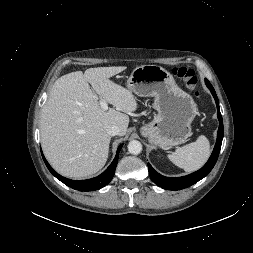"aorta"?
I'll list each match as a JSON object with an SVG mask.
<instances>
[{"mask_svg":"<svg viewBox=\"0 0 253 253\" xmlns=\"http://www.w3.org/2000/svg\"><path fill=\"white\" fill-rule=\"evenodd\" d=\"M128 151L133 155H138L142 152V144L137 140H132L128 144Z\"/></svg>","mask_w":253,"mask_h":253,"instance_id":"aorta-1","label":"aorta"}]
</instances>
